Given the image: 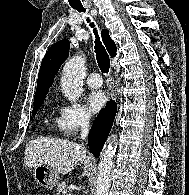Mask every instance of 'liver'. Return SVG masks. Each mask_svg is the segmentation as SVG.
Masks as SVG:
<instances>
[{
  "mask_svg": "<svg viewBox=\"0 0 189 195\" xmlns=\"http://www.w3.org/2000/svg\"><path fill=\"white\" fill-rule=\"evenodd\" d=\"M24 164L30 168L48 165L60 174H67L79 163H84L80 177L88 176L92 165L86 149L75 142L49 137H39L29 141L25 147Z\"/></svg>",
  "mask_w": 189,
  "mask_h": 195,
  "instance_id": "6515ba94",
  "label": "liver"
}]
</instances>
